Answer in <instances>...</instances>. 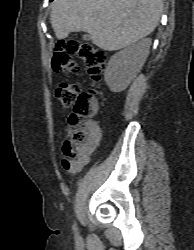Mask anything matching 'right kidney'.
Returning a JSON list of instances; mask_svg holds the SVG:
<instances>
[{
  "label": "right kidney",
  "instance_id": "obj_1",
  "mask_svg": "<svg viewBox=\"0 0 194 250\" xmlns=\"http://www.w3.org/2000/svg\"><path fill=\"white\" fill-rule=\"evenodd\" d=\"M151 46L145 38L114 54L105 70V82L112 92L124 91L144 65Z\"/></svg>",
  "mask_w": 194,
  "mask_h": 250
}]
</instances>
